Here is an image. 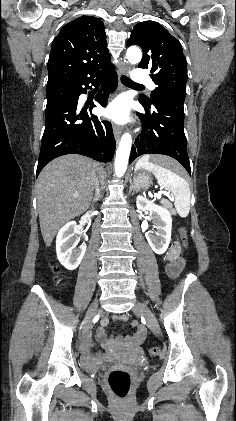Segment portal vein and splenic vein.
Masks as SVG:
<instances>
[{
	"label": "portal vein and splenic vein",
	"instance_id": "portal-vein-and-splenic-vein-1",
	"mask_svg": "<svg viewBox=\"0 0 236 421\" xmlns=\"http://www.w3.org/2000/svg\"><path fill=\"white\" fill-rule=\"evenodd\" d=\"M161 194L162 192H158V198H161ZM165 197L169 198L170 197V193L165 192ZM74 198H78V194H73ZM171 197H174V194H171Z\"/></svg>",
	"mask_w": 236,
	"mask_h": 421
}]
</instances>
